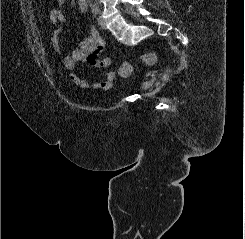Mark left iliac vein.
Instances as JSON below:
<instances>
[{"mask_svg":"<svg viewBox=\"0 0 245 239\" xmlns=\"http://www.w3.org/2000/svg\"><path fill=\"white\" fill-rule=\"evenodd\" d=\"M98 24L102 29H106V23L101 14L98 16Z\"/></svg>","mask_w":245,"mask_h":239,"instance_id":"1","label":"left iliac vein"}]
</instances>
